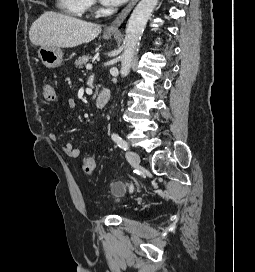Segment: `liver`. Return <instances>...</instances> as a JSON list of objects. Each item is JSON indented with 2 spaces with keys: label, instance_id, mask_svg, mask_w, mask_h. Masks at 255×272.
Wrapping results in <instances>:
<instances>
[{
  "label": "liver",
  "instance_id": "6515ba94",
  "mask_svg": "<svg viewBox=\"0 0 255 272\" xmlns=\"http://www.w3.org/2000/svg\"><path fill=\"white\" fill-rule=\"evenodd\" d=\"M101 33V26L72 16L48 11L30 27L33 45L71 48L89 43Z\"/></svg>",
  "mask_w": 255,
  "mask_h": 272
}]
</instances>
